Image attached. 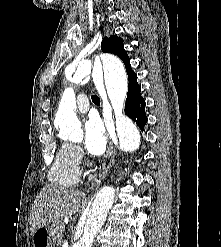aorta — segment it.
Returning <instances> with one entry per match:
<instances>
[{
  "mask_svg": "<svg viewBox=\"0 0 221 247\" xmlns=\"http://www.w3.org/2000/svg\"><path fill=\"white\" fill-rule=\"evenodd\" d=\"M103 72L109 99L116 116V130L118 144L126 152H133L139 148L140 133L132 120L123 114V107L127 95V77L121 61L112 56H102ZM90 60H82L78 64L69 65L66 70L67 80L80 83L91 73ZM76 97L73 88L65 89L56 121L60 132L70 141L77 142L83 138L81 123L76 114ZM115 189L106 187L94 199L88 213L81 235L72 247H92L94 238L103 226L107 214L114 204Z\"/></svg>",
  "mask_w": 221,
  "mask_h": 247,
  "instance_id": "762f6f07",
  "label": "aorta"
}]
</instances>
